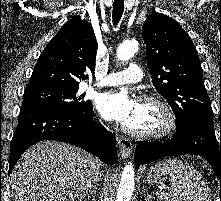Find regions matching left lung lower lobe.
I'll use <instances>...</instances> for the list:
<instances>
[{
	"instance_id": "obj_1",
	"label": "left lung lower lobe",
	"mask_w": 221,
	"mask_h": 201,
	"mask_svg": "<svg viewBox=\"0 0 221 201\" xmlns=\"http://www.w3.org/2000/svg\"><path fill=\"white\" fill-rule=\"evenodd\" d=\"M170 140L137 142L135 162L139 166L167 156L194 154L204 157L221 181V140L218 143L213 122L193 120L176 128Z\"/></svg>"
}]
</instances>
